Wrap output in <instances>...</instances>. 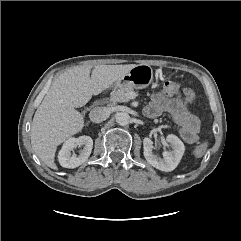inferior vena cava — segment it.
Here are the masks:
<instances>
[{"label": "inferior vena cava", "mask_w": 241, "mask_h": 241, "mask_svg": "<svg viewBox=\"0 0 241 241\" xmlns=\"http://www.w3.org/2000/svg\"><path fill=\"white\" fill-rule=\"evenodd\" d=\"M90 120L94 123H101L109 117V112L106 108L97 107L90 111Z\"/></svg>", "instance_id": "inferior-vena-cava-1"}]
</instances>
